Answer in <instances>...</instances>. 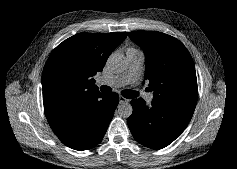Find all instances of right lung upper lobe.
I'll list each match as a JSON object with an SVG mask.
<instances>
[{
  "mask_svg": "<svg viewBox=\"0 0 237 169\" xmlns=\"http://www.w3.org/2000/svg\"><path fill=\"white\" fill-rule=\"evenodd\" d=\"M126 32L79 33L58 45L42 74L43 104L47 119L98 91L92 78L102 71Z\"/></svg>",
  "mask_w": 237,
  "mask_h": 169,
  "instance_id": "cb5924a9",
  "label": "right lung upper lobe"
}]
</instances>
